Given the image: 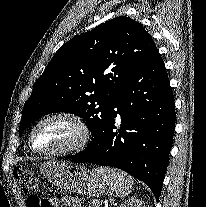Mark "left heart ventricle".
<instances>
[{
    "mask_svg": "<svg viewBox=\"0 0 206 207\" xmlns=\"http://www.w3.org/2000/svg\"><path fill=\"white\" fill-rule=\"evenodd\" d=\"M79 137L78 128L69 120L52 119L38 127L33 136L34 146L42 150L66 147Z\"/></svg>",
    "mask_w": 206,
    "mask_h": 207,
    "instance_id": "left-heart-ventricle-1",
    "label": "left heart ventricle"
}]
</instances>
